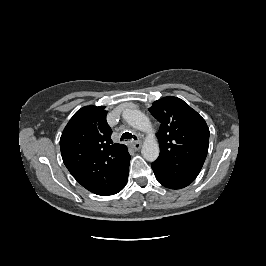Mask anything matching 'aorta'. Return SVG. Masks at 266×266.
<instances>
[{"label": "aorta", "instance_id": "obj_1", "mask_svg": "<svg viewBox=\"0 0 266 266\" xmlns=\"http://www.w3.org/2000/svg\"><path fill=\"white\" fill-rule=\"evenodd\" d=\"M124 118L127 123L135 129L148 133L142 146V156L149 162L155 161L159 156V145L152 133L149 118L140 110L129 109L124 111Z\"/></svg>", "mask_w": 266, "mask_h": 266}]
</instances>
